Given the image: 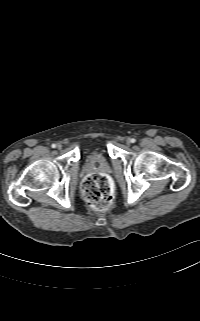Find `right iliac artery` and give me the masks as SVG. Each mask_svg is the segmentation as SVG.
<instances>
[{
	"label": "right iliac artery",
	"instance_id": "right-iliac-artery-1",
	"mask_svg": "<svg viewBox=\"0 0 200 321\" xmlns=\"http://www.w3.org/2000/svg\"><path fill=\"white\" fill-rule=\"evenodd\" d=\"M51 147H52V148H55V147H56V144H52Z\"/></svg>",
	"mask_w": 200,
	"mask_h": 321
}]
</instances>
